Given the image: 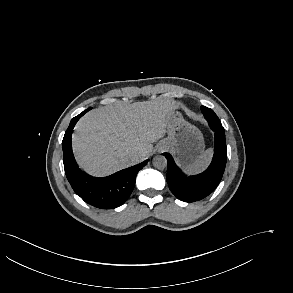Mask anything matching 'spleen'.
Segmentation results:
<instances>
[{"instance_id":"spleen-1","label":"spleen","mask_w":293,"mask_h":293,"mask_svg":"<svg viewBox=\"0 0 293 293\" xmlns=\"http://www.w3.org/2000/svg\"><path fill=\"white\" fill-rule=\"evenodd\" d=\"M212 157V150L208 149L199 158L191 164L186 170L189 173H199L203 171L210 163Z\"/></svg>"}]
</instances>
